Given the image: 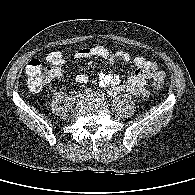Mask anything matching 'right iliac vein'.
<instances>
[{
    "label": "right iliac vein",
    "mask_w": 195,
    "mask_h": 195,
    "mask_svg": "<svg viewBox=\"0 0 195 195\" xmlns=\"http://www.w3.org/2000/svg\"><path fill=\"white\" fill-rule=\"evenodd\" d=\"M83 99H84V95L83 94H78V95L75 96L74 101H75V103H80V102L83 101Z\"/></svg>",
    "instance_id": "right-iliac-vein-1"
}]
</instances>
